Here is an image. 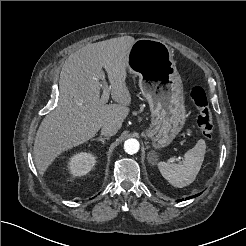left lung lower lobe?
Segmentation results:
<instances>
[{"instance_id": "1", "label": "left lung lower lobe", "mask_w": 246, "mask_h": 246, "mask_svg": "<svg viewBox=\"0 0 246 246\" xmlns=\"http://www.w3.org/2000/svg\"><path fill=\"white\" fill-rule=\"evenodd\" d=\"M198 195H200V194L194 195V196H192V197H188V198H186V199L188 200V199L193 198V197H196V196H198ZM178 201H179V200H178ZM181 201H182V200H181Z\"/></svg>"}]
</instances>
